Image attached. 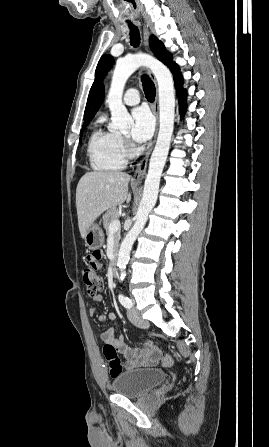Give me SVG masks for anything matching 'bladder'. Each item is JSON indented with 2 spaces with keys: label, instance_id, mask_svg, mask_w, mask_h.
Masks as SVG:
<instances>
[{
  "label": "bladder",
  "instance_id": "31cf9c89",
  "mask_svg": "<svg viewBox=\"0 0 269 447\" xmlns=\"http://www.w3.org/2000/svg\"><path fill=\"white\" fill-rule=\"evenodd\" d=\"M168 373L163 369L147 368L117 372L111 388L113 394L127 398L143 396L149 389L164 382Z\"/></svg>",
  "mask_w": 269,
  "mask_h": 447
}]
</instances>
